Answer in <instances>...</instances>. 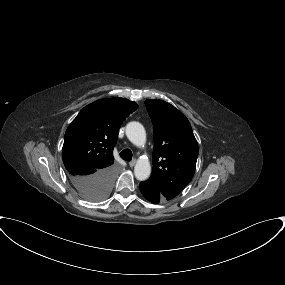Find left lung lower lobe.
Returning a JSON list of instances; mask_svg holds the SVG:
<instances>
[{"instance_id": "left-lung-lower-lobe-1", "label": "left lung lower lobe", "mask_w": 285, "mask_h": 285, "mask_svg": "<svg viewBox=\"0 0 285 285\" xmlns=\"http://www.w3.org/2000/svg\"><path fill=\"white\" fill-rule=\"evenodd\" d=\"M140 191L153 204H158L161 200H168L163 196L158 187L148 180L140 183Z\"/></svg>"}]
</instances>
